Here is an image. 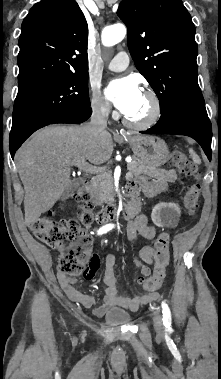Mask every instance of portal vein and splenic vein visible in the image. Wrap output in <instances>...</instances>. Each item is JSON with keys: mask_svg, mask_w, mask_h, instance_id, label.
Wrapping results in <instances>:
<instances>
[{"mask_svg": "<svg viewBox=\"0 0 221 379\" xmlns=\"http://www.w3.org/2000/svg\"><path fill=\"white\" fill-rule=\"evenodd\" d=\"M74 166H77L79 169H81L87 173H91V174H98V173L103 172V170L101 168L90 165L87 162H83V161L74 164ZM130 174H131V172H128L126 176H129Z\"/></svg>", "mask_w": 221, "mask_h": 379, "instance_id": "obj_1", "label": "portal vein and splenic vein"}]
</instances>
